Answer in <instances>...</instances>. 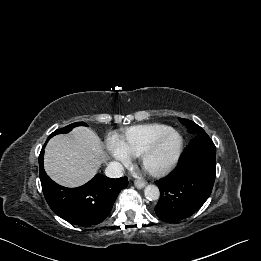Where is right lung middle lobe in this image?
<instances>
[{"label":"right lung middle lobe","instance_id":"dd1d6c3e","mask_svg":"<svg viewBox=\"0 0 261 261\" xmlns=\"http://www.w3.org/2000/svg\"><path fill=\"white\" fill-rule=\"evenodd\" d=\"M76 126H87V124L84 122H76V123L70 124L62 129H58V130L54 131L49 137L51 138L52 136L60 134V133H67Z\"/></svg>","mask_w":261,"mask_h":261}]
</instances>
